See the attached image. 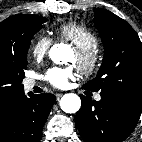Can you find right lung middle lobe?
Instances as JSON below:
<instances>
[{
    "mask_svg": "<svg viewBox=\"0 0 142 142\" xmlns=\"http://www.w3.org/2000/svg\"><path fill=\"white\" fill-rule=\"evenodd\" d=\"M46 18L32 15L26 28L19 35L18 46L10 60L0 62V86L11 85L23 88L22 80L27 67V54L33 35L42 28Z\"/></svg>",
    "mask_w": 142,
    "mask_h": 142,
    "instance_id": "right-lung-middle-lobe-1",
    "label": "right lung middle lobe"
}]
</instances>
